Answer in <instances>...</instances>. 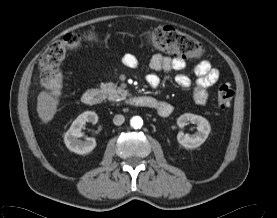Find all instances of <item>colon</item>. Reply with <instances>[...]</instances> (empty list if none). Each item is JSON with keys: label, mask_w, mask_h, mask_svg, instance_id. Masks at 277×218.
Returning a JSON list of instances; mask_svg holds the SVG:
<instances>
[{"label": "colon", "mask_w": 277, "mask_h": 218, "mask_svg": "<svg viewBox=\"0 0 277 218\" xmlns=\"http://www.w3.org/2000/svg\"><path fill=\"white\" fill-rule=\"evenodd\" d=\"M145 45L167 54L186 58H198L203 54V48L198 40L170 26H159L146 30L141 34ZM101 38L91 31L70 33L61 40L51 43L39 59L40 82L42 87L58 97L63 87V75L60 65L68 52L80 49L84 43H99ZM234 90L228 84L221 85L217 90L216 101L220 109L231 105Z\"/></svg>", "instance_id": "obj_1"}]
</instances>
